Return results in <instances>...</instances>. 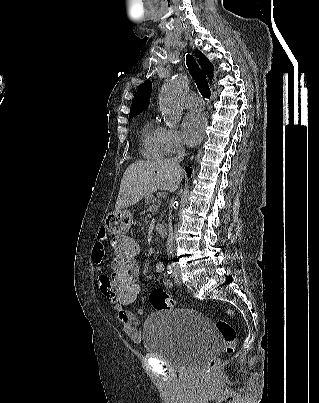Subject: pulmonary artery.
<instances>
[{"instance_id": "obj_1", "label": "pulmonary artery", "mask_w": 319, "mask_h": 403, "mask_svg": "<svg viewBox=\"0 0 319 403\" xmlns=\"http://www.w3.org/2000/svg\"><path fill=\"white\" fill-rule=\"evenodd\" d=\"M185 106L189 110L200 111L203 109L204 102L200 96L195 93L189 94L185 99Z\"/></svg>"}]
</instances>
